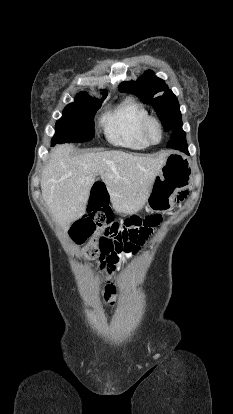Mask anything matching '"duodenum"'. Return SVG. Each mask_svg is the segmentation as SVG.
Instances as JSON below:
<instances>
[{
    "label": "duodenum",
    "instance_id": "410a0bca",
    "mask_svg": "<svg viewBox=\"0 0 233 414\" xmlns=\"http://www.w3.org/2000/svg\"><path fill=\"white\" fill-rule=\"evenodd\" d=\"M95 185L91 192V198L86 205L88 212H99L100 210H106L108 206L107 196L112 194L114 188L110 184H106L102 178L95 180Z\"/></svg>",
    "mask_w": 233,
    "mask_h": 414
}]
</instances>
